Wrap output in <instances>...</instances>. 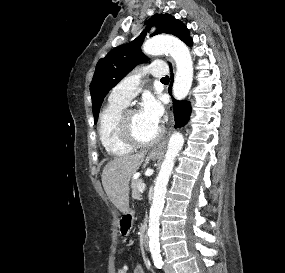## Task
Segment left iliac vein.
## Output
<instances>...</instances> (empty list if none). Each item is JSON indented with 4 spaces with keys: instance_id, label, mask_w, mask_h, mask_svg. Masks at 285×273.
Here are the masks:
<instances>
[{
    "instance_id": "4c4485c4",
    "label": "left iliac vein",
    "mask_w": 285,
    "mask_h": 273,
    "mask_svg": "<svg viewBox=\"0 0 285 273\" xmlns=\"http://www.w3.org/2000/svg\"><path fill=\"white\" fill-rule=\"evenodd\" d=\"M164 271H165V273H175L173 267L169 264H165Z\"/></svg>"
}]
</instances>
